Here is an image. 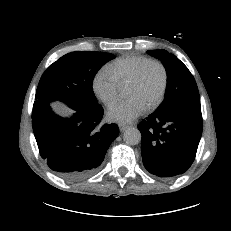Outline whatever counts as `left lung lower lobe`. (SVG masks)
Returning <instances> with one entry per match:
<instances>
[{"instance_id": "1", "label": "left lung lower lobe", "mask_w": 231, "mask_h": 231, "mask_svg": "<svg viewBox=\"0 0 231 231\" xmlns=\"http://www.w3.org/2000/svg\"><path fill=\"white\" fill-rule=\"evenodd\" d=\"M141 155L151 174L172 178L193 163L202 134L200 105H186L168 113H153L144 119Z\"/></svg>"}]
</instances>
